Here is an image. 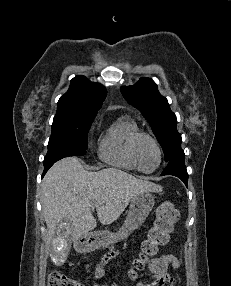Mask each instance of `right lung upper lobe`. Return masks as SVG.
<instances>
[{"mask_svg": "<svg viewBox=\"0 0 231 286\" xmlns=\"http://www.w3.org/2000/svg\"><path fill=\"white\" fill-rule=\"evenodd\" d=\"M106 97V89L84 76L71 80L69 90L59 99L57 113H97Z\"/></svg>", "mask_w": 231, "mask_h": 286, "instance_id": "1", "label": "right lung upper lobe"}]
</instances>
